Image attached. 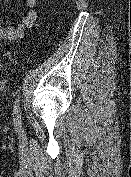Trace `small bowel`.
Here are the masks:
<instances>
[{
  "label": "small bowel",
  "mask_w": 131,
  "mask_h": 177,
  "mask_svg": "<svg viewBox=\"0 0 131 177\" xmlns=\"http://www.w3.org/2000/svg\"><path fill=\"white\" fill-rule=\"evenodd\" d=\"M23 6L26 8L27 12L22 20L12 26V27H2L0 26V40L15 41L22 38L27 29L31 28L36 17L35 6L37 0H21Z\"/></svg>",
  "instance_id": "obj_1"
}]
</instances>
